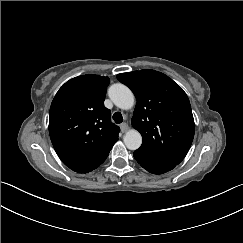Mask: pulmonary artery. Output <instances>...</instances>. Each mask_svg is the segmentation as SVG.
Segmentation results:
<instances>
[{
  "mask_svg": "<svg viewBox=\"0 0 243 243\" xmlns=\"http://www.w3.org/2000/svg\"><path fill=\"white\" fill-rule=\"evenodd\" d=\"M116 103H117V105H119L120 107H125V106H126V105H125L123 102H121V101H117Z\"/></svg>",
  "mask_w": 243,
  "mask_h": 243,
  "instance_id": "1",
  "label": "pulmonary artery"
}]
</instances>
